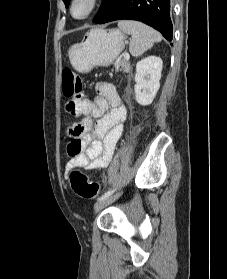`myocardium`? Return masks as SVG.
Here are the masks:
<instances>
[{
	"label": "myocardium",
	"mask_w": 227,
	"mask_h": 279,
	"mask_svg": "<svg viewBox=\"0 0 227 279\" xmlns=\"http://www.w3.org/2000/svg\"><path fill=\"white\" fill-rule=\"evenodd\" d=\"M78 0H71L70 2V15L72 16V18H74L75 20H85L87 18H89L97 9L98 7V3L99 0H87V10L86 12L82 15V16H75L73 9H74V5L76 4Z\"/></svg>",
	"instance_id": "myocardium-1"
}]
</instances>
